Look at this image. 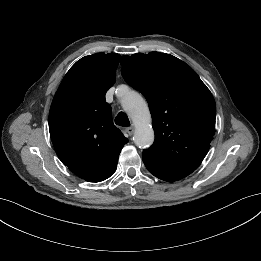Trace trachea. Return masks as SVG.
<instances>
[{"label": "trachea", "mask_w": 261, "mask_h": 261, "mask_svg": "<svg viewBox=\"0 0 261 261\" xmlns=\"http://www.w3.org/2000/svg\"><path fill=\"white\" fill-rule=\"evenodd\" d=\"M115 123L122 127L130 126V121L124 112H119L115 118Z\"/></svg>", "instance_id": "1"}]
</instances>
